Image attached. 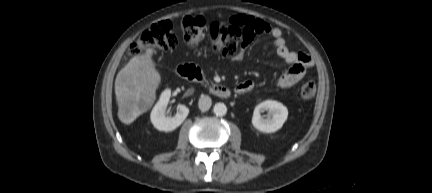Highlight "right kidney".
<instances>
[{
  "label": "right kidney",
  "instance_id": "right-kidney-1",
  "mask_svg": "<svg viewBox=\"0 0 432 193\" xmlns=\"http://www.w3.org/2000/svg\"><path fill=\"white\" fill-rule=\"evenodd\" d=\"M171 91L165 90L157 104L154 106L150 118L154 127L159 131L170 132L179 127L189 114V109L185 105H180L179 110L173 117L166 116V108L169 103Z\"/></svg>",
  "mask_w": 432,
  "mask_h": 193
}]
</instances>
